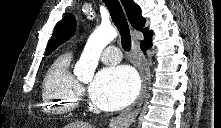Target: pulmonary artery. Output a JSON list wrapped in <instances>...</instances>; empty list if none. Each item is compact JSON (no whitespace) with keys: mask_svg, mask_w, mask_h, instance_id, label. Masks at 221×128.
Returning <instances> with one entry per match:
<instances>
[{"mask_svg":"<svg viewBox=\"0 0 221 128\" xmlns=\"http://www.w3.org/2000/svg\"><path fill=\"white\" fill-rule=\"evenodd\" d=\"M102 62L106 64H115L121 60V52L116 46H108L101 54Z\"/></svg>","mask_w":221,"mask_h":128,"instance_id":"obj_1","label":"pulmonary artery"}]
</instances>
